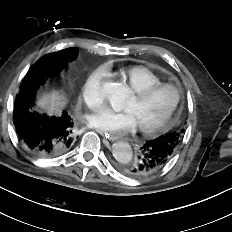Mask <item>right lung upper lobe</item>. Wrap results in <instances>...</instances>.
I'll return each mask as SVG.
<instances>
[{
  "instance_id": "obj_1",
  "label": "right lung upper lobe",
  "mask_w": 232,
  "mask_h": 232,
  "mask_svg": "<svg viewBox=\"0 0 232 232\" xmlns=\"http://www.w3.org/2000/svg\"><path fill=\"white\" fill-rule=\"evenodd\" d=\"M72 50H75V51H76V53H77V55H78V50H77L76 48H74V49H72Z\"/></svg>"
}]
</instances>
